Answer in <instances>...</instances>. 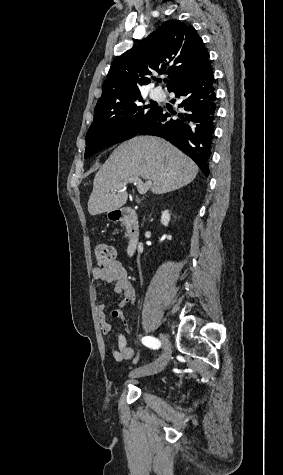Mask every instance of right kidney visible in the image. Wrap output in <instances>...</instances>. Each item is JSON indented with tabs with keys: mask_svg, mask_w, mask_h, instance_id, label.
Here are the masks:
<instances>
[{
	"mask_svg": "<svg viewBox=\"0 0 283 475\" xmlns=\"http://www.w3.org/2000/svg\"><path fill=\"white\" fill-rule=\"evenodd\" d=\"M169 222H170L169 210H165V212H162L161 224H163V226H168Z\"/></svg>",
	"mask_w": 283,
	"mask_h": 475,
	"instance_id": "obj_1",
	"label": "right kidney"
}]
</instances>
